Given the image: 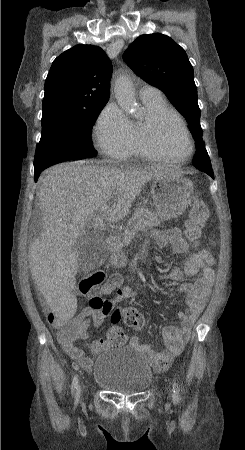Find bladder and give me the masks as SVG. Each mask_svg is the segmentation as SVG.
<instances>
[{
  "instance_id": "31cf9c89",
  "label": "bladder",
  "mask_w": 245,
  "mask_h": 450,
  "mask_svg": "<svg viewBox=\"0 0 245 450\" xmlns=\"http://www.w3.org/2000/svg\"><path fill=\"white\" fill-rule=\"evenodd\" d=\"M93 382L109 391L134 394L153 382L150 366L136 349L120 347L100 356L93 368Z\"/></svg>"
}]
</instances>
